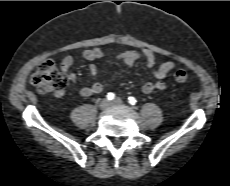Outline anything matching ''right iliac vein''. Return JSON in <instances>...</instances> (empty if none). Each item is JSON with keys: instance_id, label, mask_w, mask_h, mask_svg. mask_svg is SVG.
<instances>
[{"instance_id": "63e3f726", "label": "right iliac vein", "mask_w": 230, "mask_h": 186, "mask_svg": "<svg viewBox=\"0 0 230 186\" xmlns=\"http://www.w3.org/2000/svg\"><path fill=\"white\" fill-rule=\"evenodd\" d=\"M110 106H111V102L108 99H103L99 104V107L102 110H105V109L109 108Z\"/></svg>"}]
</instances>
